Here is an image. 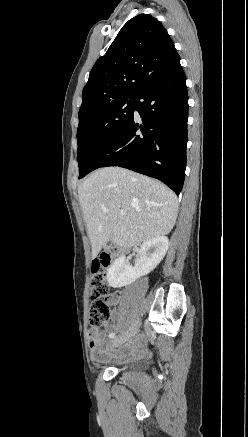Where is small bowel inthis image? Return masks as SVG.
<instances>
[{"mask_svg": "<svg viewBox=\"0 0 248 437\" xmlns=\"http://www.w3.org/2000/svg\"><path fill=\"white\" fill-rule=\"evenodd\" d=\"M109 301L112 305L117 303V297L115 295H111ZM107 329L111 333L114 329L113 324H109ZM109 334V335H110ZM145 337L143 335H135L130 343L124 347L122 351H120L121 356L123 358L140 356L146 353L145 350ZM89 346L91 349V355L94 361H106L112 355L110 345L108 344L105 336L98 330L92 329L89 332Z\"/></svg>", "mask_w": 248, "mask_h": 437, "instance_id": "small-bowel-1", "label": "small bowel"}]
</instances>
